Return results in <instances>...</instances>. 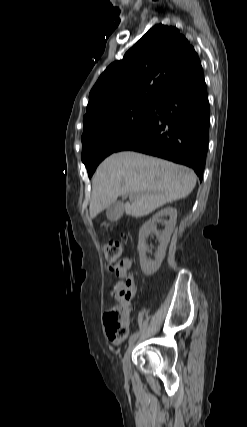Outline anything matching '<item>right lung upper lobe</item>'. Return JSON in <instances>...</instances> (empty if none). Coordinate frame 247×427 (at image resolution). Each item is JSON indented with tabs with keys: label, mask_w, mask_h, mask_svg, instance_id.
<instances>
[{
	"label": "right lung upper lobe",
	"mask_w": 247,
	"mask_h": 427,
	"mask_svg": "<svg viewBox=\"0 0 247 427\" xmlns=\"http://www.w3.org/2000/svg\"><path fill=\"white\" fill-rule=\"evenodd\" d=\"M202 73L197 53L179 30L156 25L101 74L89 94L84 129L132 106H156Z\"/></svg>",
	"instance_id": "cb5924a9"
}]
</instances>
